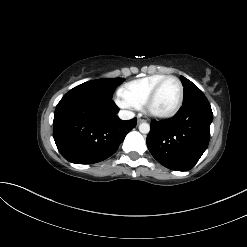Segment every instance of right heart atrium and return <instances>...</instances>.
I'll list each match as a JSON object with an SVG mask.
<instances>
[{
    "instance_id": "right-heart-atrium-1",
    "label": "right heart atrium",
    "mask_w": 247,
    "mask_h": 247,
    "mask_svg": "<svg viewBox=\"0 0 247 247\" xmlns=\"http://www.w3.org/2000/svg\"><path fill=\"white\" fill-rule=\"evenodd\" d=\"M116 103L119 107L123 109L131 110V109L137 108L130 101H128L125 97H123L121 94L117 97Z\"/></svg>"
}]
</instances>
